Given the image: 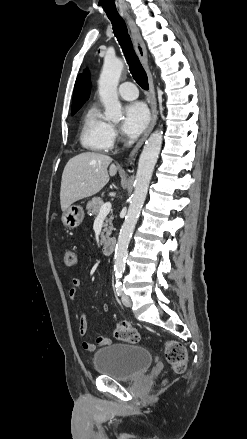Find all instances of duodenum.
<instances>
[{
    "label": "duodenum",
    "instance_id": "obj_1",
    "mask_svg": "<svg viewBox=\"0 0 247 439\" xmlns=\"http://www.w3.org/2000/svg\"><path fill=\"white\" fill-rule=\"evenodd\" d=\"M116 247V240L114 238H108L103 243V253L105 255H111Z\"/></svg>",
    "mask_w": 247,
    "mask_h": 439
}]
</instances>
